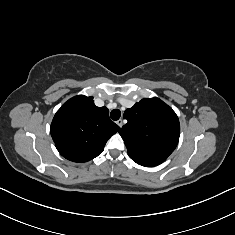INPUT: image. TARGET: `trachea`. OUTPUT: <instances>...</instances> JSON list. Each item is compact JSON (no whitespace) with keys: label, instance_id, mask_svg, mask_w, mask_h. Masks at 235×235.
<instances>
[{"label":"trachea","instance_id":"1","mask_svg":"<svg viewBox=\"0 0 235 235\" xmlns=\"http://www.w3.org/2000/svg\"><path fill=\"white\" fill-rule=\"evenodd\" d=\"M120 116H121V112L119 109H113L110 113V117L114 121L118 120Z\"/></svg>","mask_w":235,"mask_h":235}]
</instances>
